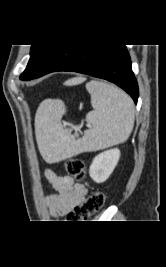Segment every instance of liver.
I'll return each instance as SVG.
<instances>
[{"mask_svg": "<svg viewBox=\"0 0 166 267\" xmlns=\"http://www.w3.org/2000/svg\"><path fill=\"white\" fill-rule=\"evenodd\" d=\"M84 80H85V78H83V77L72 78V79L66 81L65 85H67V86L78 85V84H81Z\"/></svg>", "mask_w": 166, "mask_h": 267, "instance_id": "liver-1", "label": "liver"}]
</instances>
